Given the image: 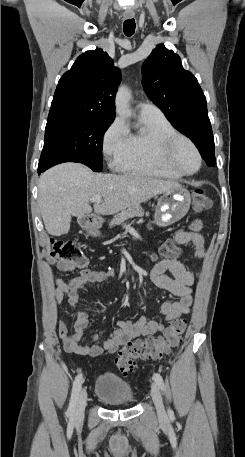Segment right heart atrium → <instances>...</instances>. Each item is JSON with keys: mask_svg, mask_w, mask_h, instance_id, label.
Listing matches in <instances>:
<instances>
[{"mask_svg": "<svg viewBox=\"0 0 245 457\" xmlns=\"http://www.w3.org/2000/svg\"><path fill=\"white\" fill-rule=\"evenodd\" d=\"M128 132L121 118L116 117L109 124L103 135V147L106 155L114 156L127 144Z\"/></svg>", "mask_w": 245, "mask_h": 457, "instance_id": "right-heart-atrium-1", "label": "right heart atrium"}]
</instances>
